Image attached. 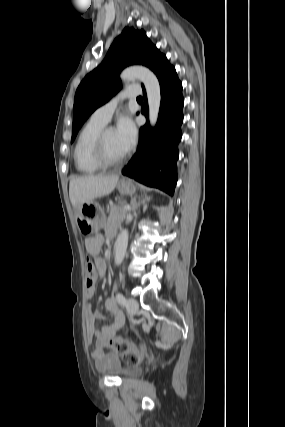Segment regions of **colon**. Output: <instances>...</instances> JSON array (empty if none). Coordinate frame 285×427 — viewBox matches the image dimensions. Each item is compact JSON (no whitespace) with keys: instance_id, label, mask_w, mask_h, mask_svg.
<instances>
[{"instance_id":"1","label":"colon","mask_w":285,"mask_h":427,"mask_svg":"<svg viewBox=\"0 0 285 427\" xmlns=\"http://www.w3.org/2000/svg\"><path fill=\"white\" fill-rule=\"evenodd\" d=\"M86 272V286L92 287L94 286L95 282L96 268L93 261L89 258H87L86 260ZM111 347L117 354H119L124 359L126 364L129 366L137 365L147 352V347L145 345L135 347L134 345L122 338H117L113 340L111 342Z\"/></svg>"}]
</instances>
